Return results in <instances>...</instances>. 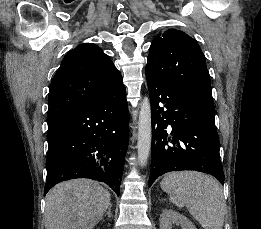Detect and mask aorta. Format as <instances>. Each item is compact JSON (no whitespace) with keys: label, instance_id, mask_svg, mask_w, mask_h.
Instances as JSON below:
<instances>
[{"label":"aorta","instance_id":"762f6f07","mask_svg":"<svg viewBox=\"0 0 261 229\" xmlns=\"http://www.w3.org/2000/svg\"><path fill=\"white\" fill-rule=\"evenodd\" d=\"M151 121V106L148 96H145L139 110L137 133V159L141 167H145L150 155L152 141Z\"/></svg>","mask_w":261,"mask_h":229}]
</instances>
